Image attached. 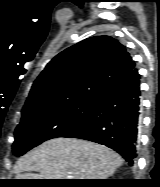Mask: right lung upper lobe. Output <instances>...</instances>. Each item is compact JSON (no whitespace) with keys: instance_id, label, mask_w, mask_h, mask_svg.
Instances as JSON below:
<instances>
[{"instance_id":"cb5924a9","label":"right lung upper lobe","mask_w":160,"mask_h":187,"mask_svg":"<svg viewBox=\"0 0 160 187\" xmlns=\"http://www.w3.org/2000/svg\"><path fill=\"white\" fill-rule=\"evenodd\" d=\"M135 68L110 36L87 38L54 57L33 83L22 112L80 98L99 99Z\"/></svg>"}]
</instances>
